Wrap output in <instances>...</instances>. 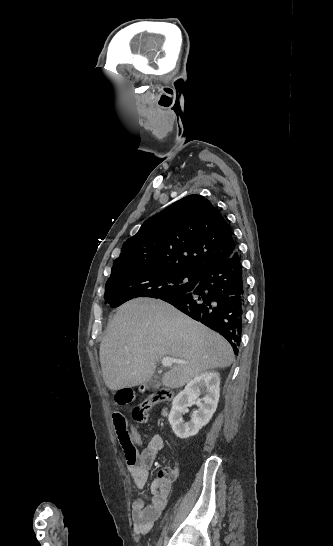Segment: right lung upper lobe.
<instances>
[{
  "label": "right lung upper lobe",
  "instance_id": "1",
  "mask_svg": "<svg viewBox=\"0 0 333 546\" xmlns=\"http://www.w3.org/2000/svg\"><path fill=\"white\" fill-rule=\"evenodd\" d=\"M236 250L217 208L203 196L189 195L146 220L123 244L112 270L137 267L197 276Z\"/></svg>",
  "mask_w": 333,
  "mask_h": 546
}]
</instances>
